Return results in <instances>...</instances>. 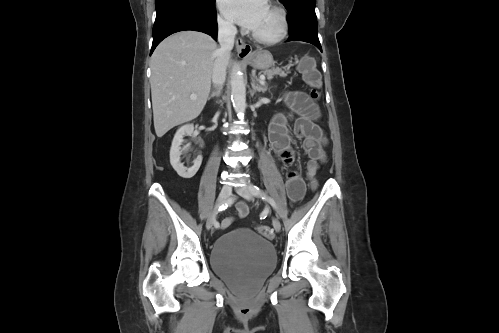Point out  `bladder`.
<instances>
[{"label":"bladder","mask_w":499,"mask_h":333,"mask_svg":"<svg viewBox=\"0 0 499 333\" xmlns=\"http://www.w3.org/2000/svg\"><path fill=\"white\" fill-rule=\"evenodd\" d=\"M213 271L236 287L247 288L264 280L276 267V251L265 238L240 227L219 236L210 251Z\"/></svg>","instance_id":"1"}]
</instances>
